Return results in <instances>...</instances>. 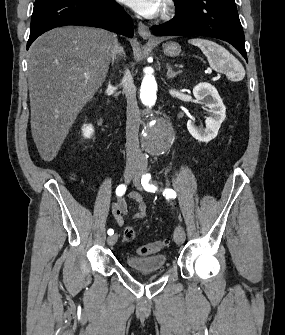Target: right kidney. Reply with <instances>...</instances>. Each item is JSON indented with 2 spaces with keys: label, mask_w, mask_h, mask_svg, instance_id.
Segmentation results:
<instances>
[{
  "label": "right kidney",
  "mask_w": 285,
  "mask_h": 335,
  "mask_svg": "<svg viewBox=\"0 0 285 335\" xmlns=\"http://www.w3.org/2000/svg\"><path fill=\"white\" fill-rule=\"evenodd\" d=\"M82 130L84 138H91L94 134L93 126H91V124H84Z\"/></svg>",
  "instance_id": "obj_1"
}]
</instances>
